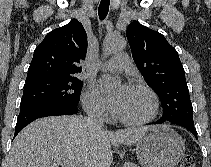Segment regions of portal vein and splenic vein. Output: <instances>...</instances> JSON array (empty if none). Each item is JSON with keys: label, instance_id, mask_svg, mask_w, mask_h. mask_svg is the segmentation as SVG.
<instances>
[{"label": "portal vein and splenic vein", "instance_id": "1", "mask_svg": "<svg viewBox=\"0 0 211 167\" xmlns=\"http://www.w3.org/2000/svg\"><path fill=\"white\" fill-rule=\"evenodd\" d=\"M59 163L63 167H76V163L72 161H60Z\"/></svg>", "mask_w": 211, "mask_h": 167}]
</instances>
